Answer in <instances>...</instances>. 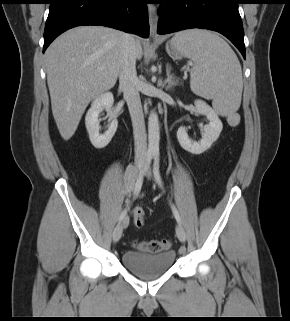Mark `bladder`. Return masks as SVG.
<instances>
[{
    "label": "bladder",
    "instance_id": "bladder-1",
    "mask_svg": "<svg viewBox=\"0 0 290 321\" xmlns=\"http://www.w3.org/2000/svg\"><path fill=\"white\" fill-rule=\"evenodd\" d=\"M175 258L172 250L159 253L130 250L122 254V263L139 277L153 278L165 274L173 266Z\"/></svg>",
    "mask_w": 290,
    "mask_h": 321
}]
</instances>
